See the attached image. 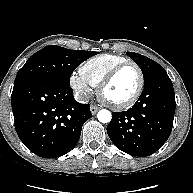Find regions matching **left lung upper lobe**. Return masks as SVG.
<instances>
[{"label":"left lung upper lobe","mask_w":193,"mask_h":193,"mask_svg":"<svg viewBox=\"0 0 193 193\" xmlns=\"http://www.w3.org/2000/svg\"><path fill=\"white\" fill-rule=\"evenodd\" d=\"M127 55L141 68L144 76V85L158 74L165 72L161 65L148 57L134 52H128Z\"/></svg>","instance_id":"obj_1"}]
</instances>
